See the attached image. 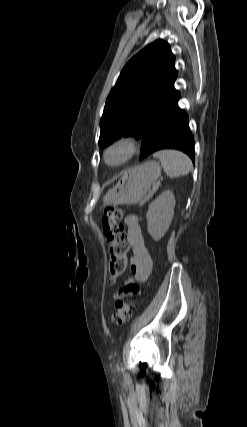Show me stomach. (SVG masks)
Wrapping results in <instances>:
<instances>
[{
  "label": "stomach",
  "mask_w": 247,
  "mask_h": 427,
  "mask_svg": "<svg viewBox=\"0 0 247 427\" xmlns=\"http://www.w3.org/2000/svg\"><path fill=\"white\" fill-rule=\"evenodd\" d=\"M160 173L159 163L153 160L125 170L116 186L103 197L104 206L139 203L145 198Z\"/></svg>",
  "instance_id": "0dacf381"
}]
</instances>
